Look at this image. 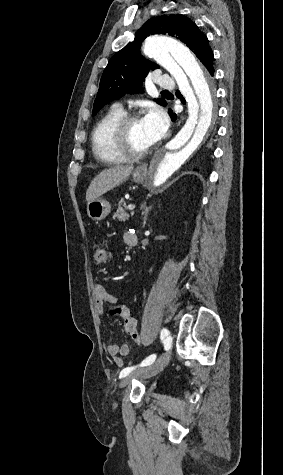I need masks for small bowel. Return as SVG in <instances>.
<instances>
[{"label": "small bowel", "instance_id": "c3829d8e", "mask_svg": "<svg viewBox=\"0 0 283 475\" xmlns=\"http://www.w3.org/2000/svg\"><path fill=\"white\" fill-rule=\"evenodd\" d=\"M124 242L127 246L133 247L137 242L136 236L132 233H126L124 235ZM92 292L95 299V305L98 310L102 311L105 305H112V300L115 298V296L109 292L105 285L101 283H95L93 285ZM127 312H130L128 307ZM112 314L118 316L115 309L112 311ZM108 352L114 359L116 365L122 366V357L129 354V346L126 343L110 344L108 346Z\"/></svg>", "mask_w": 283, "mask_h": 475}]
</instances>
